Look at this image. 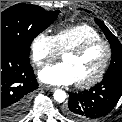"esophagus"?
Returning a JSON list of instances; mask_svg holds the SVG:
<instances>
[{
  "instance_id": "obj_1",
  "label": "esophagus",
  "mask_w": 122,
  "mask_h": 122,
  "mask_svg": "<svg viewBox=\"0 0 122 122\" xmlns=\"http://www.w3.org/2000/svg\"><path fill=\"white\" fill-rule=\"evenodd\" d=\"M41 87H42L43 89H46V90H55V88H54L53 86H50V85H45V84H43Z\"/></svg>"
}]
</instances>
